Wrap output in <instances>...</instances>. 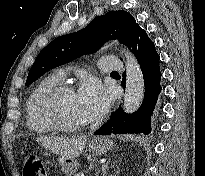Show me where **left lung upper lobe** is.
I'll return each mask as SVG.
<instances>
[{
	"mask_svg": "<svg viewBox=\"0 0 205 176\" xmlns=\"http://www.w3.org/2000/svg\"><path fill=\"white\" fill-rule=\"evenodd\" d=\"M137 28L139 25L126 11H110L96 17L82 30L60 36L44 47L29 71L26 85L53 68L96 52L109 40L118 39L128 46Z\"/></svg>",
	"mask_w": 205,
	"mask_h": 176,
	"instance_id": "obj_1",
	"label": "left lung upper lobe"
}]
</instances>
